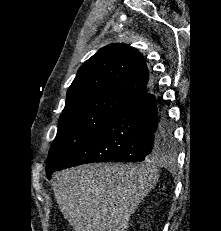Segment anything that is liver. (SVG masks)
I'll use <instances>...</instances> for the list:
<instances>
[{
    "mask_svg": "<svg viewBox=\"0 0 221 231\" xmlns=\"http://www.w3.org/2000/svg\"><path fill=\"white\" fill-rule=\"evenodd\" d=\"M158 178L151 164H86L58 172L53 191L75 231H126Z\"/></svg>",
    "mask_w": 221,
    "mask_h": 231,
    "instance_id": "liver-1",
    "label": "liver"
}]
</instances>
